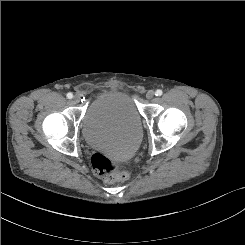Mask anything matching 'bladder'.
<instances>
[{
	"instance_id": "bladder-1",
	"label": "bladder",
	"mask_w": 245,
	"mask_h": 245,
	"mask_svg": "<svg viewBox=\"0 0 245 245\" xmlns=\"http://www.w3.org/2000/svg\"><path fill=\"white\" fill-rule=\"evenodd\" d=\"M81 131L91 147L126 155L140 144L141 117L127 93L107 91L89 104L82 119Z\"/></svg>"
}]
</instances>
